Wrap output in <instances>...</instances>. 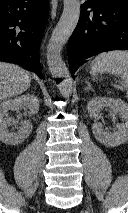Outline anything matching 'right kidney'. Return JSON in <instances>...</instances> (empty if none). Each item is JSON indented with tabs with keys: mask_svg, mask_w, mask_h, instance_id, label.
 Wrapping results in <instances>:
<instances>
[{
	"mask_svg": "<svg viewBox=\"0 0 128 213\" xmlns=\"http://www.w3.org/2000/svg\"><path fill=\"white\" fill-rule=\"evenodd\" d=\"M22 108L29 110L30 115L39 111V99L33 94H24L13 99L0 103V140L7 145H19L29 137L33 126L29 120L21 122L17 132L13 131L16 120L12 117H5L9 111H19ZM12 128V131H9Z\"/></svg>",
	"mask_w": 128,
	"mask_h": 213,
	"instance_id": "ca27d5eb",
	"label": "right kidney"
}]
</instances>
